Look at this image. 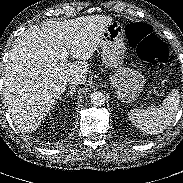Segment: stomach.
Instances as JSON below:
<instances>
[{
    "label": "stomach",
    "instance_id": "0dacf381",
    "mask_svg": "<svg viewBox=\"0 0 183 183\" xmlns=\"http://www.w3.org/2000/svg\"><path fill=\"white\" fill-rule=\"evenodd\" d=\"M99 47L103 63L114 69L109 79L118 98L127 103L136 100L144 88L145 78L139 71L123 67L126 47L124 29L118 21H112L106 27Z\"/></svg>",
    "mask_w": 183,
    "mask_h": 183
}]
</instances>
